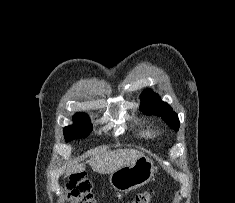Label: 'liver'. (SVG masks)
<instances>
[{"label": "liver", "mask_w": 235, "mask_h": 203, "mask_svg": "<svg viewBox=\"0 0 235 203\" xmlns=\"http://www.w3.org/2000/svg\"><path fill=\"white\" fill-rule=\"evenodd\" d=\"M143 154L134 149H117L113 151L94 152L87 161L91 168L100 174H111L119 168L133 164ZM85 163H75L66 171V175L83 172Z\"/></svg>", "instance_id": "1"}]
</instances>
